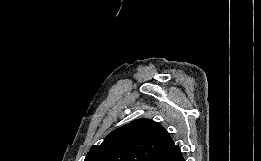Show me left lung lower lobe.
Listing matches in <instances>:
<instances>
[{"label": "left lung lower lobe", "instance_id": "1", "mask_svg": "<svg viewBox=\"0 0 261 161\" xmlns=\"http://www.w3.org/2000/svg\"><path fill=\"white\" fill-rule=\"evenodd\" d=\"M151 161H184L178 145L172 143L158 152Z\"/></svg>", "mask_w": 261, "mask_h": 161}]
</instances>
